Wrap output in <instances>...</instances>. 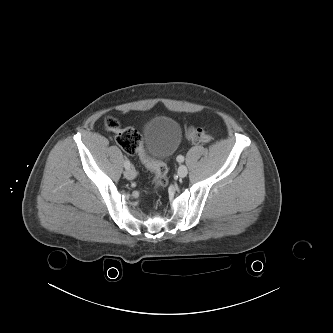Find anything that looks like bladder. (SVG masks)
<instances>
[{
    "label": "bladder",
    "instance_id": "31cf9c89",
    "mask_svg": "<svg viewBox=\"0 0 333 333\" xmlns=\"http://www.w3.org/2000/svg\"><path fill=\"white\" fill-rule=\"evenodd\" d=\"M182 129L170 117L151 119L144 127V152L152 161H161L170 156L180 144Z\"/></svg>",
    "mask_w": 333,
    "mask_h": 333
}]
</instances>
